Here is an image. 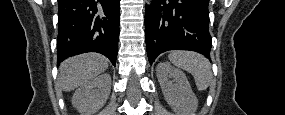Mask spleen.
I'll return each instance as SVG.
<instances>
[{
  "label": "spleen",
  "mask_w": 285,
  "mask_h": 115,
  "mask_svg": "<svg viewBox=\"0 0 285 115\" xmlns=\"http://www.w3.org/2000/svg\"><path fill=\"white\" fill-rule=\"evenodd\" d=\"M168 58L176 67L193 75L199 91H204L210 86L213 77L211 64L203 55L191 51L176 50L172 51Z\"/></svg>",
  "instance_id": "spleen-1"
}]
</instances>
